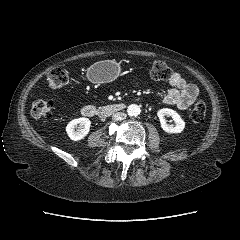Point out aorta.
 <instances>
[{
  "label": "aorta",
  "mask_w": 240,
  "mask_h": 240,
  "mask_svg": "<svg viewBox=\"0 0 240 240\" xmlns=\"http://www.w3.org/2000/svg\"><path fill=\"white\" fill-rule=\"evenodd\" d=\"M141 110L140 107L137 104H131L127 108V113L129 116H138L140 114Z\"/></svg>",
  "instance_id": "1"
}]
</instances>
